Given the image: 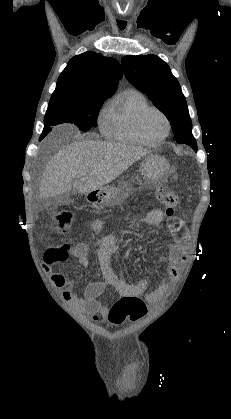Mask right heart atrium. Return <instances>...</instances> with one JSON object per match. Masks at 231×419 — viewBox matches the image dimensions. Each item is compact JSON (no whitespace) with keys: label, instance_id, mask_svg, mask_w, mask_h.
<instances>
[{"label":"right heart atrium","instance_id":"d8ad5b80","mask_svg":"<svg viewBox=\"0 0 231 419\" xmlns=\"http://www.w3.org/2000/svg\"><path fill=\"white\" fill-rule=\"evenodd\" d=\"M109 119V107L108 103H105L102 109L100 110L99 116H98V125L102 132H104L107 123Z\"/></svg>","mask_w":231,"mask_h":419}]
</instances>
